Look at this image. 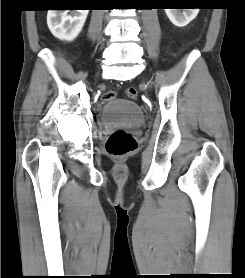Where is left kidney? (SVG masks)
Segmentation results:
<instances>
[{
  "label": "left kidney",
  "instance_id": "1",
  "mask_svg": "<svg viewBox=\"0 0 245 278\" xmlns=\"http://www.w3.org/2000/svg\"><path fill=\"white\" fill-rule=\"evenodd\" d=\"M165 9L167 17L177 27H184L191 22L198 14L199 8L193 9Z\"/></svg>",
  "mask_w": 245,
  "mask_h": 278
}]
</instances>
